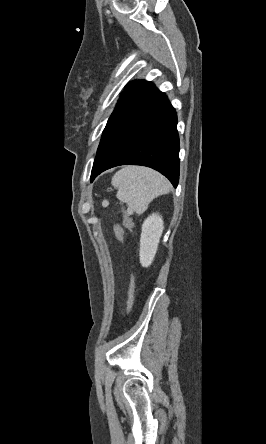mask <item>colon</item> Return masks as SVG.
Returning a JSON list of instances; mask_svg holds the SVG:
<instances>
[{"instance_id":"1","label":"colon","mask_w":266,"mask_h":444,"mask_svg":"<svg viewBox=\"0 0 266 444\" xmlns=\"http://www.w3.org/2000/svg\"><path fill=\"white\" fill-rule=\"evenodd\" d=\"M124 229H126L129 232H131L133 229V222L129 217L124 218L123 226L117 224L114 227L115 238L120 243L123 241ZM134 293H135V282H134V277L132 276L127 291V299H126L127 313H129L132 309L134 301Z\"/></svg>"}]
</instances>
